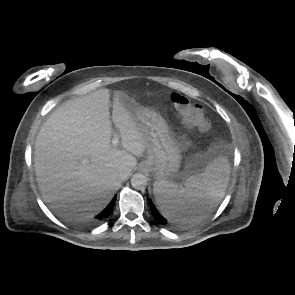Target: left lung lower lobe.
Returning a JSON list of instances; mask_svg holds the SVG:
<instances>
[{
	"label": "left lung lower lobe",
	"mask_w": 295,
	"mask_h": 295,
	"mask_svg": "<svg viewBox=\"0 0 295 295\" xmlns=\"http://www.w3.org/2000/svg\"><path fill=\"white\" fill-rule=\"evenodd\" d=\"M150 208H151L154 219L158 223L166 225L167 220L158 212V210L156 209V207L154 206L152 201H150ZM190 214H191V216L198 215V213L196 211H194V209H192V212Z\"/></svg>",
	"instance_id": "left-lung-lower-lobe-1"
}]
</instances>
